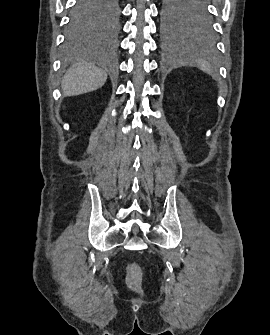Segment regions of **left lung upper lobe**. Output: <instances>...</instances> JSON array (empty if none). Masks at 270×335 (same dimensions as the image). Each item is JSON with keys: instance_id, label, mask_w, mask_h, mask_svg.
<instances>
[{"instance_id": "left-lung-upper-lobe-1", "label": "left lung upper lobe", "mask_w": 270, "mask_h": 335, "mask_svg": "<svg viewBox=\"0 0 270 335\" xmlns=\"http://www.w3.org/2000/svg\"><path fill=\"white\" fill-rule=\"evenodd\" d=\"M162 1V29L165 33L211 30L212 21L207 0Z\"/></svg>"}]
</instances>
